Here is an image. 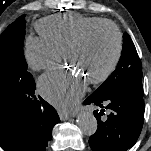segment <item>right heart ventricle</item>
<instances>
[{"label": "right heart ventricle", "mask_w": 151, "mask_h": 151, "mask_svg": "<svg viewBox=\"0 0 151 151\" xmlns=\"http://www.w3.org/2000/svg\"><path fill=\"white\" fill-rule=\"evenodd\" d=\"M101 21L105 20L98 17L67 13L44 17L38 21L36 27L41 37L63 52L66 45L87 27Z\"/></svg>", "instance_id": "right-heart-ventricle-1"}]
</instances>
